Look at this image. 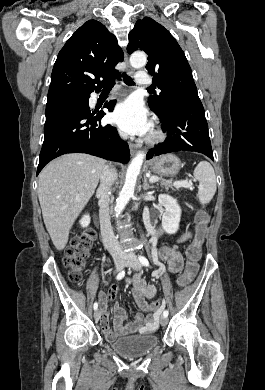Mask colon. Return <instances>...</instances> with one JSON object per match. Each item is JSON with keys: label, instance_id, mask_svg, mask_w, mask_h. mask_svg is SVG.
<instances>
[{"label": "colon", "instance_id": "obj_1", "mask_svg": "<svg viewBox=\"0 0 265 390\" xmlns=\"http://www.w3.org/2000/svg\"><path fill=\"white\" fill-rule=\"evenodd\" d=\"M208 221V213L201 210L196 215L195 236L189 244L186 255L187 262L184 272L178 277V285L186 287L198 272V260L201 256V248L204 242L203 227ZM96 233L93 229L88 228L80 235L72 239L67 247L63 259L64 266L68 270V278L73 283H80L89 258L90 251L95 242ZM165 301L156 300L151 303V310L155 315L165 307Z\"/></svg>", "mask_w": 265, "mask_h": 390}]
</instances>
